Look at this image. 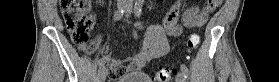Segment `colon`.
<instances>
[{
    "label": "colon",
    "instance_id": "5ec220e1",
    "mask_svg": "<svg viewBox=\"0 0 279 82\" xmlns=\"http://www.w3.org/2000/svg\"><path fill=\"white\" fill-rule=\"evenodd\" d=\"M207 3L212 7L221 5L222 0H208ZM61 14L66 29L71 35L72 41L81 47H85L87 54L92 48L87 47L89 35L94 25V18L89 14L90 1L88 0H59ZM189 36L187 48L189 51L195 50L200 45V35L197 32ZM175 73V68H162L155 76V82H170L171 75Z\"/></svg>",
    "mask_w": 279,
    "mask_h": 82
}]
</instances>
